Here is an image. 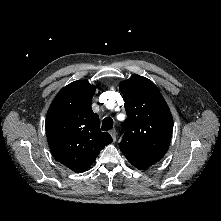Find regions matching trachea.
<instances>
[{"mask_svg":"<svg viewBox=\"0 0 221 221\" xmlns=\"http://www.w3.org/2000/svg\"><path fill=\"white\" fill-rule=\"evenodd\" d=\"M101 128L103 131L111 130L113 128V120L110 117L104 118Z\"/></svg>","mask_w":221,"mask_h":221,"instance_id":"3493384b","label":"trachea"}]
</instances>
